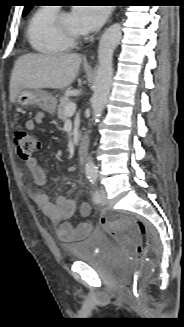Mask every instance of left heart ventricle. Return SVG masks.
<instances>
[{"mask_svg": "<svg viewBox=\"0 0 184 327\" xmlns=\"http://www.w3.org/2000/svg\"><path fill=\"white\" fill-rule=\"evenodd\" d=\"M64 24H65V27L72 31V32H75V33H81L78 29V26H77V23H76V20L72 14V12H67L65 15H64Z\"/></svg>", "mask_w": 184, "mask_h": 327, "instance_id": "obj_1", "label": "left heart ventricle"}]
</instances>
